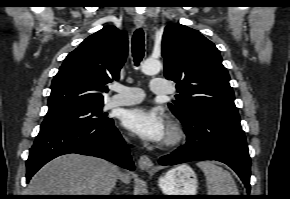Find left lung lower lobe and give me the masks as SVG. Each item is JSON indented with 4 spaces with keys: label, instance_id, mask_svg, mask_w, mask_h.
I'll list each match as a JSON object with an SVG mask.
<instances>
[{
    "label": "left lung lower lobe",
    "instance_id": "obj_1",
    "mask_svg": "<svg viewBox=\"0 0 290 199\" xmlns=\"http://www.w3.org/2000/svg\"><path fill=\"white\" fill-rule=\"evenodd\" d=\"M187 142L174 153L160 158L161 165L216 160L230 166L250 191L251 160L240 120L233 121L200 112L182 122Z\"/></svg>",
    "mask_w": 290,
    "mask_h": 199
}]
</instances>
